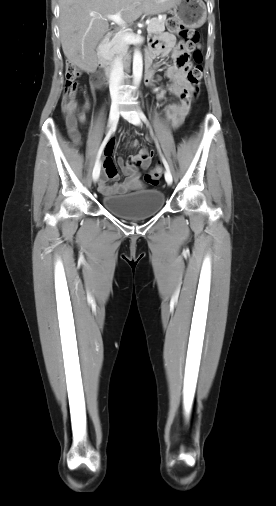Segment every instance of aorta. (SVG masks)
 <instances>
[{"label": "aorta", "mask_w": 276, "mask_h": 506, "mask_svg": "<svg viewBox=\"0 0 276 506\" xmlns=\"http://www.w3.org/2000/svg\"><path fill=\"white\" fill-rule=\"evenodd\" d=\"M143 72V59L139 50H135L133 55V81L134 85L140 84Z\"/></svg>", "instance_id": "762f6f07"}]
</instances>
